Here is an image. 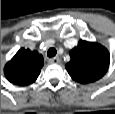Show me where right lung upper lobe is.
Masks as SVG:
<instances>
[{"mask_svg":"<svg viewBox=\"0 0 115 114\" xmlns=\"http://www.w3.org/2000/svg\"><path fill=\"white\" fill-rule=\"evenodd\" d=\"M43 63V56L37 51L21 48L5 65L4 73L11 83L29 85L39 76Z\"/></svg>","mask_w":115,"mask_h":114,"instance_id":"cb5924a9","label":"right lung upper lobe"}]
</instances>
